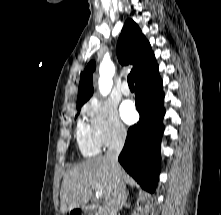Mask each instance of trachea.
<instances>
[{
  "instance_id": "3493384b",
  "label": "trachea",
  "mask_w": 221,
  "mask_h": 215,
  "mask_svg": "<svg viewBox=\"0 0 221 215\" xmlns=\"http://www.w3.org/2000/svg\"><path fill=\"white\" fill-rule=\"evenodd\" d=\"M127 81H128L129 87H130V88H134V78H133L132 75H129V76L127 77Z\"/></svg>"
}]
</instances>
